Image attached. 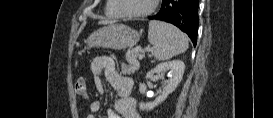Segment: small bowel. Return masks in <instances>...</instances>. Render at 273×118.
Returning a JSON list of instances; mask_svg holds the SVG:
<instances>
[{"label":"small bowel","mask_w":273,"mask_h":118,"mask_svg":"<svg viewBox=\"0 0 273 118\" xmlns=\"http://www.w3.org/2000/svg\"><path fill=\"white\" fill-rule=\"evenodd\" d=\"M91 71L94 75L96 89L100 94L105 93L102 81V77H105L118 95L114 109L107 111V118H139L136 101L131 96L133 80L118 71L114 59L110 57L95 58L91 64ZM100 108L99 101H92L89 105L91 113L87 115V118H95L94 113L98 112Z\"/></svg>","instance_id":"small-bowel-1"}]
</instances>
